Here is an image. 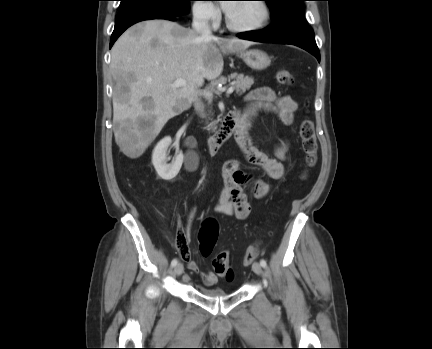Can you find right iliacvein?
I'll use <instances>...</instances> for the list:
<instances>
[{
	"label": "right iliac vein",
	"mask_w": 432,
	"mask_h": 349,
	"mask_svg": "<svg viewBox=\"0 0 432 349\" xmlns=\"http://www.w3.org/2000/svg\"><path fill=\"white\" fill-rule=\"evenodd\" d=\"M184 271V267L181 263L177 264L174 268V274L180 276Z\"/></svg>",
	"instance_id": "1"
}]
</instances>
